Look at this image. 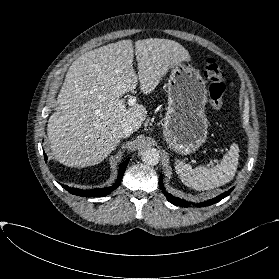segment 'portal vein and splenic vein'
I'll return each instance as SVG.
<instances>
[{"label":"portal vein and splenic vein","instance_id":"obj_1","mask_svg":"<svg viewBox=\"0 0 279 279\" xmlns=\"http://www.w3.org/2000/svg\"><path fill=\"white\" fill-rule=\"evenodd\" d=\"M136 103V98L135 97H130L128 99V105L133 106Z\"/></svg>","mask_w":279,"mask_h":279}]
</instances>
